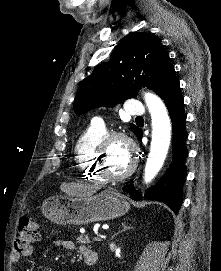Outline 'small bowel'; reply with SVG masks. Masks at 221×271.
<instances>
[{
    "label": "small bowel",
    "mask_w": 221,
    "mask_h": 271,
    "mask_svg": "<svg viewBox=\"0 0 221 271\" xmlns=\"http://www.w3.org/2000/svg\"><path fill=\"white\" fill-rule=\"evenodd\" d=\"M56 248L64 249L70 252H76L84 258L89 256L97 257V253L84 244H79L69 239L57 238L53 241ZM33 253V247L29 246L23 250H14L11 254L12 262H17L21 256H29Z\"/></svg>",
    "instance_id": "small-bowel-1"
}]
</instances>
